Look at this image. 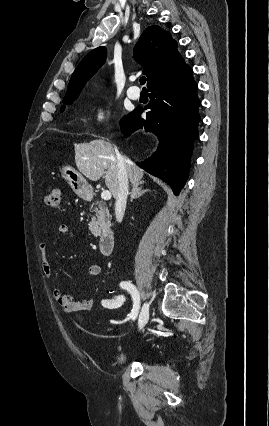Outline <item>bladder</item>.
<instances>
[{"mask_svg":"<svg viewBox=\"0 0 269 426\" xmlns=\"http://www.w3.org/2000/svg\"><path fill=\"white\" fill-rule=\"evenodd\" d=\"M130 359L128 353L120 352L111 355V363L116 366L125 364Z\"/></svg>","mask_w":269,"mask_h":426,"instance_id":"bladder-1","label":"bladder"}]
</instances>
